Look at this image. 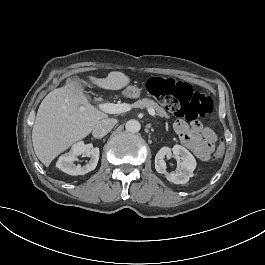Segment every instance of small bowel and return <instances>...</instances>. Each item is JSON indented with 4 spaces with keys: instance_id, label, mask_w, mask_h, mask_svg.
Wrapping results in <instances>:
<instances>
[{
    "instance_id": "1",
    "label": "small bowel",
    "mask_w": 265,
    "mask_h": 265,
    "mask_svg": "<svg viewBox=\"0 0 265 265\" xmlns=\"http://www.w3.org/2000/svg\"><path fill=\"white\" fill-rule=\"evenodd\" d=\"M173 129L177 133L181 143L189 149L200 161H208L214 149L217 135L209 127L200 122L188 124L183 119H177L173 123Z\"/></svg>"
}]
</instances>
